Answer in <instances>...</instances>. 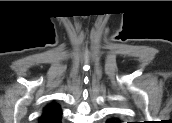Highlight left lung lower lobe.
Segmentation results:
<instances>
[{
  "label": "left lung lower lobe",
  "instance_id": "left-lung-lower-lobe-1",
  "mask_svg": "<svg viewBox=\"0 0 172 123\" xmlns=\"http://www.w3.org/2000/svg\"><path fill=\"white\" fill-rule=\"evenodd\" d=\"M108 123H113L112 121H109Z\"/></svg>",
  "mask_w": 172,
  "mask_h": 123
}]
</instances>
